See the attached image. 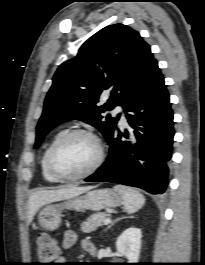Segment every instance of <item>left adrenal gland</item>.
<instances>
[{
  "label": "left adrenal gland",
  "mask_w": 205,
  "mask_h": 265,
  "mask_svg": "<svg viewBox=\"0 0 205 265\" xmlns=\"http://www.w3.org/2000/svg\"><path fill=\"white\" fill-rule=\"evenodd\" d=\"M120 219H122V218H118V219H116L114 222H112L107 228H106V230L107 229H109L115 222H117L118 220H120Z\"/></svg>",
  "instance_id": "left-adrenal-gland-1"
}]
</instances>
